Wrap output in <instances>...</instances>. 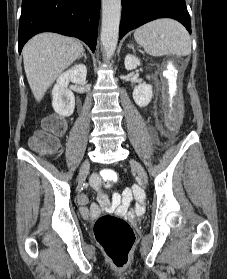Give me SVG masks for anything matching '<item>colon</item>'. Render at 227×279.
Segmentation results:
<instances>
[{"label": "colon", "mask_w": 227, "mask_h": 279, "mask_svg": "<svg viewBox=\"0 0 227 279\" xmlns=\"http://www.w3.org/2000/svg\"><path fill=\"white\" fill-rule=\"evenodd\" d=\"M43 126L44 130L37 132L30 139V145L41 154L48 155L59 148L57 135L65 130V122L51 116L43 120ZM101 181L116 183L118 174L113 170L103 172ZM94 235L100 247L115 265L125 266L128 263L135 236L126 220L111 214H103L95 222Z\"/></svg>", "instance_id": "colon-1"}]
</instances>
